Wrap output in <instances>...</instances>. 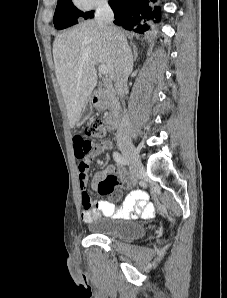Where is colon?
<instances>
[{"mask_svg":"<svg viewBox=\"0 0 227 298\" xmlns=\"http://www.w3.org/2000/svg\"><path fill=\"white\" fill-rule=\"evenodd\" d=\"M84 134L86 138L83 139V142H92L88 138L101 139L106 136V128L102 120L98 118H92L86 124L84 128ZM84 159V158H78ZM130 183L122 178H119L115 175L104 176L97 183V188L100 194L108 195L111 194L117 187H129Z\"/></svg>","mask_w":227,"mask_h":298,"instance_id":"1","label":"colon"}]
</instances>
